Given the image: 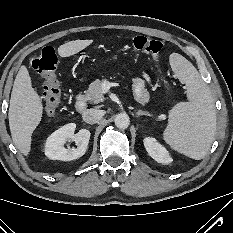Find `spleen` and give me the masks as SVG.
I'll return each instance as SVG.
<instances>
[{"label": "spleen", "mask_w": 233, "mask_h": 233, "mask_svg": "<svg viewBox=\"0 0 233 233\" xmlns=\"http://www.w3.org/2000/svg\"><path fill=\"white\" fill-rule=\"evenodd\" d=\"M170 64L186 85L189 102H180L172 108L163 139L174 150L200 160L209 152L216 132L214 99L197 69L186 58L173 53Z\"/></svg>", "instance_id": "obj_1"}]
</instances>
